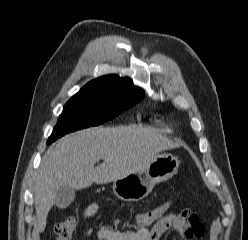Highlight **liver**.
Returning <instances> with one entry per match:
<instances>
[{
  "label": "liver",
  "mask_w": 248,
  "mask_h": 240,
  "mask_svg": "<svg viewBox=\"0 0 248 240\" xmlns=\"http://www.w3.org/2000/svg\"><path fill=\"white\" fill-rule=\"evenodd\" d=\"M178 145L133 126L93 127L63 137L44 154L34 188L38 231L45 230L56 190L106 184L135 171L157 153ZM100 159L103 162L94 167Z\"/></svg>",
  "instance_id": "obj_1"
}]
</instances>
